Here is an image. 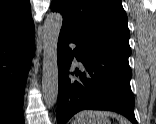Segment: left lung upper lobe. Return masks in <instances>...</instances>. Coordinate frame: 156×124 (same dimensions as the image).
Wrapping results in <instances>:
<instances>
[{"instance_id":"left-lung-upper-lobe-1","label":"left lung upper lobe","mask_w":156,"mask_h":124,"mask_svg":"<svg viewBox=\"0 0 156 124\" xmlns=\"http://www.w3.org/2000/svg\"><path fill=\"white\" fill-rule=\"evenodd\" d=\"M51 10L62 14V28L77 38L130 56L127 15L120 0H53Z\"/></svg>"}]
</instances>
